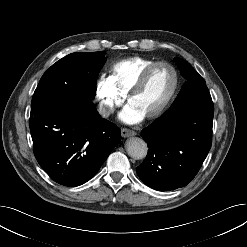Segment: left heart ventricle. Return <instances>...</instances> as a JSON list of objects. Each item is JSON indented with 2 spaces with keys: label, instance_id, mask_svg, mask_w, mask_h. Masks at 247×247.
Here are the masks:
<instances>
[{
  "label": "left heart ventricle",
  "instance_id": "obj_1",
  "mask_svg": "<svg viewBox=\"0 0 247 247\" xmlns=\"http://www.w3.org/2000/svg\"><path fill=\"white\" fill-rule=\"evenodd\" d=\"M172 86L171 69L167 66H159L151 72L141 92L133 97L129 104L146 117L164 103Z\"/></svg>",
  "mask_w": 247,
  "mask_h": 247
}]
</instances>
